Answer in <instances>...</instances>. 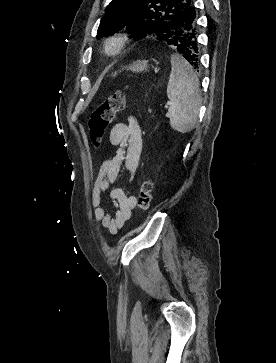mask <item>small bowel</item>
Here are the masks:
<instances>
[{
	"label": "small bowel",
	"instance_id": "1",
	"mask_svg": "<svg viewBox=\"0 0 276 363\" xmlns=\"http://www.w3.org/2000/svg\"><path fill=\"white\" fill-rule=\"evenodd\" d=\"M109 142L116 153L104 160L91 190L94 218L111 234H117L130 219L136 208V197L119 188L110 191L116 211L111 215L103 207V194L110 188L124 167L128 172V183L137 181L138 166L142 150V131L137 119L129 116L127 122L115 124L109 133Z\"/></svg>",
	"mask_w": 276,
	"mask_h": 363
}]
</instances>
